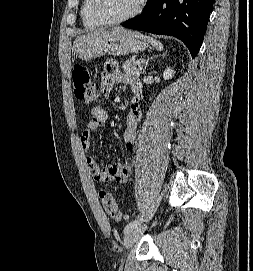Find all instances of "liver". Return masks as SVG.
<instances>
[{
    "label": "liver",
    "instance_id": "1",
    "mask_svg": "<svg viewBox=\"0 0 253 271\" xmlns=\"http://www.w3.org/2000/svg\"><path fill=\"white\" fill-rule=\"evenodd\" d=\"M85 36V35H84ZM83 36H80V37H78L77 39H80V38H82Z\"/></svg>",
    "mask_w": 253,
    "mask_h": 271
}]
</instances>
